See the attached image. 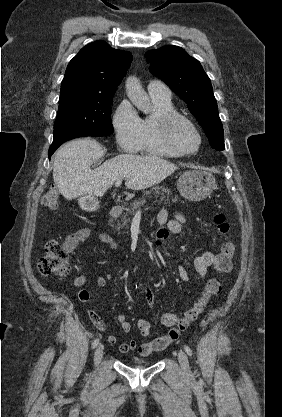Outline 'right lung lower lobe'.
I'll return each instance as SVG.
<instances>
[{"instance_id":"obj_1","label":"right lung lower lobe","mask_w":282,"mask_h":417,"mask_svg":"<svg viewBox=\"0 0 282 417\" xmlns=\"http://www.w3.org/2000/svg\"><path fill=\"white\" fill-rule=\"evenodd\" d=\"M88 136L87 134L84 133H71V134H66L57 138H54L52 145L49 148V152H48V156L49 158L51 157V155L55 152V150L65 141H68L70 139L73 138H78V137H86Z\"/></svg>"}]
</instances>
